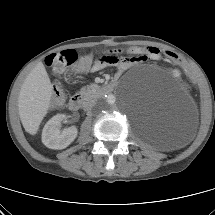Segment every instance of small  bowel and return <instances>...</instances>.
<instances>
[{
  "label": "small bowel",
  "mask_w": 215,
  "mask_h": 215,
  "mask_svg": "<svg viewBox=\"0 0 215 215\" xmlns=\"http://www.w3.org/2000/svg\"><path fill=\"white\" fill-rule=\"evenodd\" d=\"M128 52L134 54L135 56L128 58H118L117 54L120 53V50L110 51L99 58H96L92 62L90 69L92 71H99L108 66H115L118 72H123L139 63L150 60H160L163 56V52L159 48L153 46H135L129 48Z\"/></svg>",
  "instance_id": "small-bowel-1"
}]
</instances>
